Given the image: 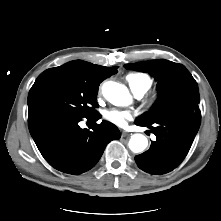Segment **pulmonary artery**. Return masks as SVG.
Segmentation results:
<instances>
[{
    "instance_id": "pulmonary-artery-1",
    "label": "pulmonary artery",
    "mask_w": 221,
    "mask_h": 221,
    "mask_svg": "<svg viewBox=\"0 0 221 221\" xmlns=\"http://www.w3.org/2000/svg\"><path fill=\"white\" fill-rule=\"evenodd\" d=\"M135 95H136V97H141L142 95H143V93H141V92H137V93H135Z\"/></svg>"
}]
</instances>
